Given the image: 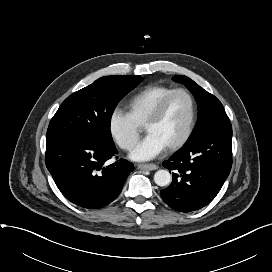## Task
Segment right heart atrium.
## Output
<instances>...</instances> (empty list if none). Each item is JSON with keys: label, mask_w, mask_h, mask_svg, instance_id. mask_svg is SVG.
<instances>
[{"label": "right heart atrium", "mask_w": 272, "mask_h": 272, "mask_svg": "<svg viewBox=\"0 0 272 272\" xmlns=\"http://www.w3.org/2000/svg\"><path fill=\"white\" fill-rule=\"evenodd\" d=\"M108 131L113 141L123 150H131L140 134L138 126L130 115L120 109H114L108 118Z\"/></svg>", "instance_id": "d8ad5b80"}]
</instances>
